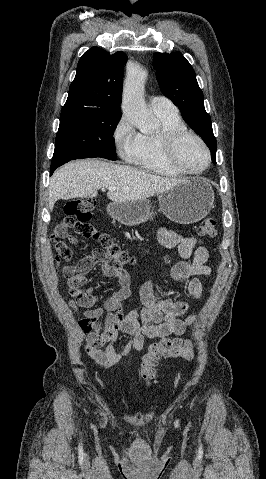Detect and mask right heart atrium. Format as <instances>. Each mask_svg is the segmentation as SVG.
Here are the masks:
<instances>
[{"label":"right heart atrium","instance_id":"1","mask_svg":"<svg viewBox=\"0 0 266 479\" xmlns=\"http://www.w3.org/2000/svg\"><path fill=\"white\" fill-rule=\"evenodd\" d=\"M112 138L118 154L124 160L133 162L139 151V134L136 133L127 117L123 116L118 121Z\"/></svg>","mask_w":266,"mask_h":479}]
</instances>
